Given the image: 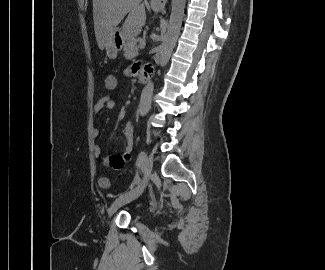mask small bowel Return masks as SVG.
Here are the masks:
<instances>
[{"label":"small bowel","mask_w":325,"mask_h":270,"mask_svg":"<svg viewBox=\"0 0 325 270\" xmlns=\"http://www.w3.org/2000/svg\"><path fill=\"white\" fill-rule=\"evenodd\" d=\"M153 72V66L151 64H146L144 66V75H150ZM136 71L133 69L128 72V74H135ZM113 76V75H108ZM105 82V81H104ZM118 84V82H117ZM105 87V85H104ZM116 105V98L111 94L104 95L100 97L94 104V113H99L103 109H112ZM99 129L94 127L92 130V136L97 138L99 136ZM123 136L125 138L124 154L123 155H111L109 157H104L102 162L105 166L111 167L113 169H120L124 166L125 162L131 158V153L133 150V139H134V129L131 123H127L123 128ZM93 155L96 158L101 156V147L95 144L93 147Z\"/></svg>","instance_id":"c3829d8e"}]
</instances>
